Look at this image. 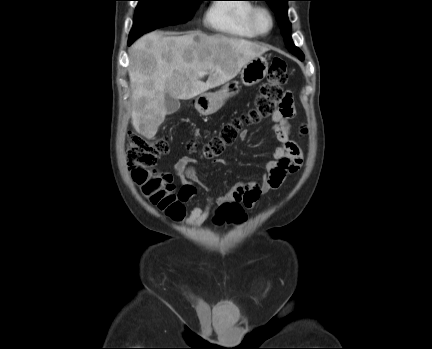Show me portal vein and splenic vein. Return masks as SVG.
Here are the masks:
<instances>
[{"label": "portal vein and splenic vein", "instance_id": "portal-vein-and-splenic-vein-1", "mask_svg": "<svg viewBox=\"0 0 432 349\" xmlns=\"http://www.w3.org/2000/svg\"><path fill=\"white\" fill-rule=\"evenodd\" d=\"M205 74H206L205 72H200V73H199V76H200V77H203Z\"/></svg>", "mask_w": 432, "mask_h": 349}]
</instances>
